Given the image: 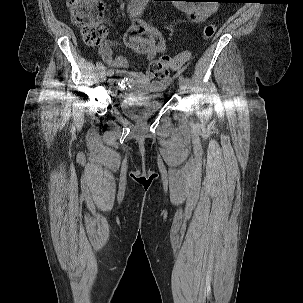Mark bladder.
Instances as JSON below:
<instances>
[{
  "label": "bladder",
  "instance_id": "obj_1",
  "mask_svg": "<svg viewBox=\"0 0 303 303\" xmlns=\"http://www.w3.org/2000/svg\"><path fill=\"white\" fill-rule=\"evenodd\" d=\"M162 94H152L149 96L135 98H124L121 107L124 114L133 120H142L147 116L157 112L163 105Z\"/></svg>",
  "mask_w": 303,
  "mask_h": 303
}]
</instances>
